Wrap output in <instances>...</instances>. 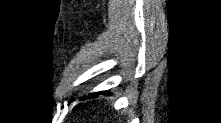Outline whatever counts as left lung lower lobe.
Segmentation results:
<instances>
[{
	"instance_id": "1",
	"label": "left lung lower lobe",
	"mask_w": 221,
	"mask_h": 123,
	"mask_svg": "<svg viewBox=\"0 0 221 123\" xmlns=\"http://www.w3.org/2000/svg\"><path fill=\"white\" fill-rule=\"evenodd\" d=\"M101 93H104V92H97V93H94V94H92V95H89L88 97L98 96V95L101 94Z\"/></svg>"
}]
</instances>
